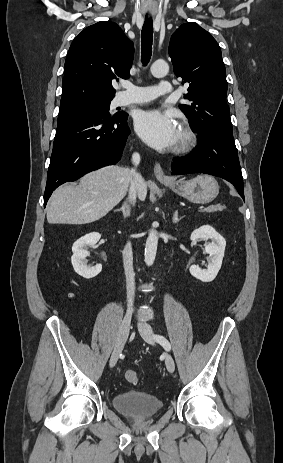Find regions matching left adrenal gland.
I'll use <instances>...</instances> for the list:
<instances>
[{"label": "left adrenal gland", "mask_w": 283, "mask_h": 463, "mask_svg": "<svg viewBox=\"0 0 283 463\" xmlns=\"http://www.w3.org/2000/svg\"><path fill=\"white\" fill-rule=\"evenodd\" d=\"M183 217H180L179 218V215H178V210H176L173 214V217H172V220H173V223H178Z\"/></svg>", "instance_id": "a2214340"}]
</instances>
